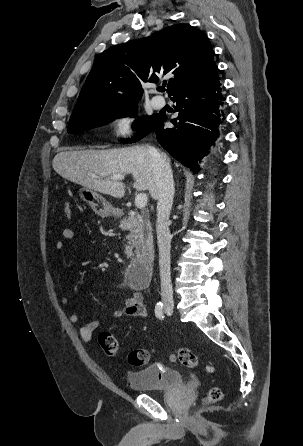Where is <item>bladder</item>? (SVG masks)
<instances>
[{"instance_id": "31cf9c89", "label": "bladder", "mask_w": 303, "mask_h": 446, "mask_svg": "<svg viewBox=\"0 0 303 446\" xmlns=\"http://www.w3.org/2000/svg\"><path fill=\"white\" fill-rule=\"evenodd\" d=\"M127 382L132 390L138 392L166 391L185 385L181 372L156 365L128 373Z\"/></svg>"}]
</instances>
